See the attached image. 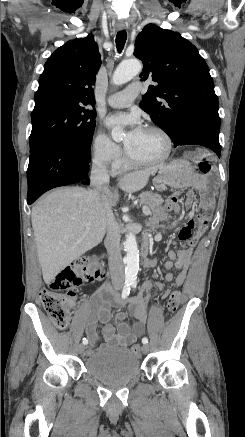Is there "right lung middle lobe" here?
I'll return each mask as SVG.
<instances>
[{"mask_svg":"<svg viewBox=\"0 0 245 437\" xmlns=\"http://www.w3.org/2000/svg\"><path fill=\"white\" fill-rule=\"evenodd\" d=\"M96 112L81 105L60 102L35 106L31 113L30 150L52 140L69 148L91 146Z\"/></svg>","mask_w":245,"mask_h":437,"instance_id":"dd1d6c3e","label":"right lung middle lobe"}]
</instances>
